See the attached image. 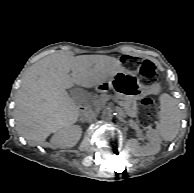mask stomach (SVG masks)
I'll return each mask as SVG.
<instances>
[{
  "label": "stomach",
  "instance_id": "0dacf381",
  "mask_svg": "<svg viewBox=\"0 0 194 193\" xmlns=\"http://www.w3.org/2000/svg\"><path fill=\"white\" fill-rule=\"evenodd\" d=\"M99 86L113 88L123 95L134 99L141 98L148 94H158L162 90L160 83L157 82L150 86L143 85L133 72L122 70L113 74Z\"/></svg>",
  "mask_w": 194,
  "mask_h": 193
}]
</instances>
